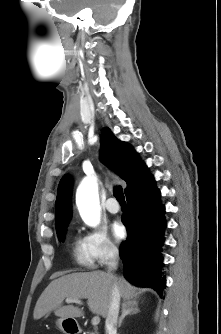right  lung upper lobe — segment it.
Here are the masks:
<instances>
[{"label": "right lung upper lobe", "mask_w": 221, "mask_h": 334, "mask_svg": "<svg viewBox=\"0 0 221 334\" xmlns=\"http://www.w3.org/2000/svg\"><path fill=\"white\" fill-rule=\"evenodd\" d=\"M103 156L111 168L127 183L125 193L139 187L149 177L145 164L128 144L119 141L109 128L101 134ZM71 218V185L68 177L62 178L56 199V231L68 226Z\"/></svg>", "instance_id": "right-lung-upper-lobe-1"}]
</instances>
